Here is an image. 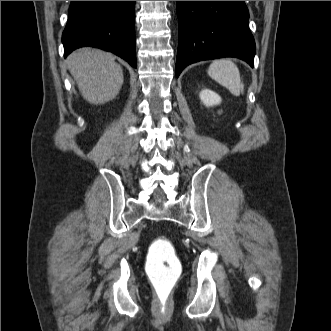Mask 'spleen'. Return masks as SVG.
I'll return each mask as SVG.
<instances>
[{"label":"spleen","instance_id":"spleen-1","mask_svg":"<svg viewBox=\"0 0 331 331\" xmlns=\"http://www.w3.org/2000/svg\"><path fill=\"white\" fill-rule=\"evenodd\" d=\"M208 74L212 79L226 87L234 96L243 93L244 85L241 82L239 69L231 60L213 61L209 66Z\"/></svg>","mask_w":331,"mask_h":331}]
</instances>
